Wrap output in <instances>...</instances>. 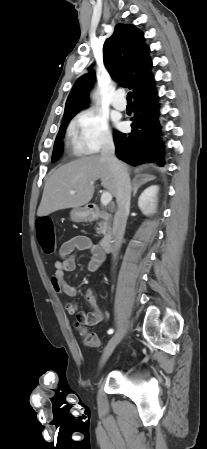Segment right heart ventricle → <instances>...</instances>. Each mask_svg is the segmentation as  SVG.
Wrapping results in <instances>:
<instances>
[{"mask_svg":"<svg viewBox=\"0 0 207 449\" xmlns=\"http://www.w3.org/2000/svg\"><path fill=\"white\" fill-rule=\"evenodd\" d=\"M69 146H70V149L72 150L73 154L81 155L83 153V150L80 148V146L77 143V140L75 138L73 131L70 132Z\"/></svg>","mask_w":207,"mask_h":449,"instance_id":"1","label":"right heart ventricle"}]
</instances>
